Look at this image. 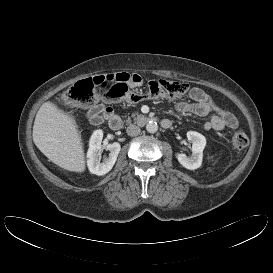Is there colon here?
<instances>
[{
	"mask_svg": "<svg viewBox=\"0 0 273 273\" xmlns=\"http://www.w3.org/2000/svg\"><path fill=\"white\" fill-rule=\"evenodd\" d=\"M139 77L134 74L117 73L86 78L77 81L60 97L61 104L65 106H91L98 101L96 89H105V101L115 103L119 101L138 102L143 98H177L184 95L189 86L185 82L152 79L147 83L145 96L138 95L129 90L128 85L138 82ZM231 143L235 150L242 151L248 146V137L241 131L234 132Z\"/></svg>",
	"mask_w": 273,
	"mask_h": 273,
	"instance_id": "obj_1",
	"label": "colon"
}]
</instances>
